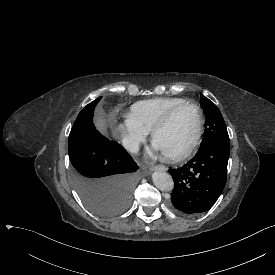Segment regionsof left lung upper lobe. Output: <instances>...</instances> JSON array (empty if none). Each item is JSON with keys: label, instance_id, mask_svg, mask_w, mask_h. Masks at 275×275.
Listing matches in <instances>:
<instances>
[{"label": "left lung upper lobe", "instance_id": "obj_1", "mask_svg": "<svg viewBox=\"0 0 275 275\" xmlns=\"http://www.w3.org/2000/svg\"><path fill=\"white\" fill-rule=\"evenodd\" d=\"M200 98L206 115L205 136L200 147L221 140H229L227 128L218 107L205 96L201 95Z\"/></svg>", "mask_w": 275, "mask_h": 275}]
</instances>
